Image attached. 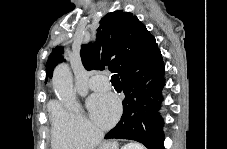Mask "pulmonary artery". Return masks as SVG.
Returning a JSON list of instances; mask_svg holds the SVG:
<instances>
[{
  "label": "pulmonary artery",
  "mask_w": 227,
  "mask_h": 149,
  "mask_svg": "<svg viewBox=\"0 0 227 149\" xmlns=\"http://www.w3.org/2000/svg\"><path fill=\"white\" fill-rule=\"evenodd\" d=\"M89 86L92 90L99 91L108 89L110 86L109 79L105 75H93L89 80Z\"/></svg>",
  "instance_id": "obj_1"
}]
</instances>
